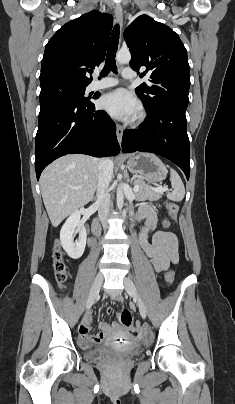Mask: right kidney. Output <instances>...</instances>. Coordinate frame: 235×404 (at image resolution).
Wrapping results in <instances>:
<instances>
[{
    "label": "right kidney",
    "instance_id": "obj_1",
    "mask_svg": "<svg viewBox=\"0 0 235 404\" xmlns=\"http://www.w3.org/2000/svg\"><path fill=\"white\" fill-rule=\"evenodd\" d=\"M81 212L76 210L66 220L60 231V243L67 254L73 258H80L85 250L87 234L84 225L80 224ZM79 233L78 241L74 242V236Z\"/></svg>",
    "mask_w": 235,
    "mask_h": 404
}]
</instances>
